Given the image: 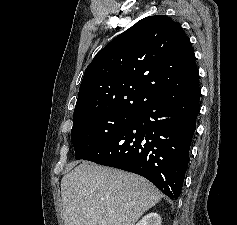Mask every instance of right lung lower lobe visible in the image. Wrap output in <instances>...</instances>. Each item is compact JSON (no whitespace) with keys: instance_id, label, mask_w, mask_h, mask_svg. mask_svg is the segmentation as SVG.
Returning a JSON list of instances; mask_svg holds the SVG:
<instances>
[{"instance_id":"98d812e1","label":"right lung lower lobe","mask_w":237,"mask_h":225,"mask_svg":"<svg viewBox=\"0 0 237 225\" xmlns=\"http://www.w3.org/2000/svg\"><path fill=\"white\" fill-rule=\"evenodd\" d=\"M198 85L144 105L120 133L83 159L139 174L177 199L200 110Z\"/></svg>"}]
</instances>
